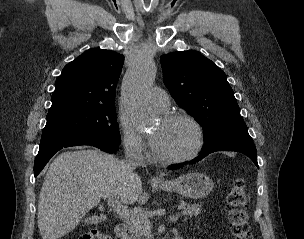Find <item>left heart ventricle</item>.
I'll return each mask as SVG.
<instances>
[{"label": "left heart ventricle", "mask_w": 304, "mask_h": 239, "mask_svg": "<svg viewBox=\"0 0 304 239\" xmlns=\"http://www.w3.org/2000/svg\"><path fill=\"white\" fill-rule=\"evenodd\" d=\"M159 138L155 150L162 156H179L188 152L195 141L192 126L185 121L165 122L161 120L152 132Z\"/></svg>", "instance_id": "left-heart-ventricle-1"}]
</instances>
